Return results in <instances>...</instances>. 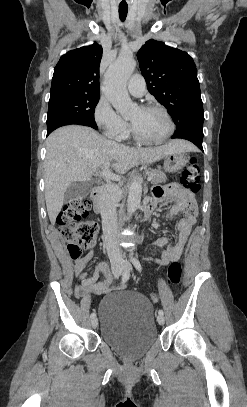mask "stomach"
I'll return each mask as SVG.
<instances>
[{"mask_svg":"<svg viewBox=\"0 0 247 407\" xmlns=\"http://www.w3.org/2000/svg\"><path fill=\"white\" fill-rule=\"evenodd\" d=\"M188 163V158L183 152H175L165 156L164 169L166 172H177Z\"/></svg>","mask_w":247,"mask_h":407,"instance_id":"obj_1","label":"stomach"}]
</instances>
